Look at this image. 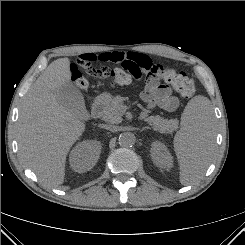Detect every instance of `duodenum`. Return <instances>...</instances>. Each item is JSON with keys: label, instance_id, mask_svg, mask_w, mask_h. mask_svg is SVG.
Instances as JSON below:
<instances>
[{"label": "duodenum", "instance_id": "obj_1", "mask_svg": "<svg viewBox=\"0 0 245 245\" xmlns=\"http://www.w3.org/2000/svg\"><path fill=\"white\" fill-rule=\"evenodd\" d=\"M106 105H107V100L105 97H98L94 103L92 104V107H91V114L94 118H99L105 108H106Z\"/></svg>", "mask_w": 245, "mask_h": 245}]
</instances>
